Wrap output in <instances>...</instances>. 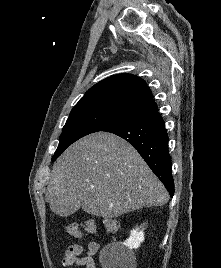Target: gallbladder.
<instances>
[{"label":"gallbladder","mask_w":221,"mask_h":268,"mask_svg":"<svg viewBox=\"0 0 221 268\" xmlns=\"http://www.w3.org/2000/svg\"><path fill=\"white\" fill-rule=\"evenodd\" d=\"M51 207V213H56L57 217H70L75 210H81L78 199H54Z\"/></svg>","instance_id":"gallbladder-1"}]
</instances>
